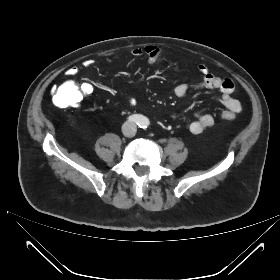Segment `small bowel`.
<instances>
[{"instance_id": "1", "label": "small bowel", "mask_w": 280, "mask_h": 280, "mask_svg": "<svg viewBox=\"0 0 280 280\" xmlns=\"http://www.w3.org/2000/svg\"><path fill=\"white\" fill-rule=\"evenodd\" d=\"M129 53L136 57H145L149 63H155L160 59L161 51L157 46L148 45L144 48L133 47L129 50ZM94 61L92 59L86 60L84 67H91ZM199 71L203 74L204 78L201 82H183L174 87V94L177 97H184L190 90H219L222 93L220 103L225 107V110L221 115L231 114L233 118L235 115L242 111V103L232 97V93L235 89V84L230 78H222L214 75L209 71L208 66L205 63H201L198 66ZM69 76H76L79 73L78 66H72L67 71ZM94 86L90 82H83L79 86L81 100L92 94ZM125 103L129 106H133L136 100L133 97H127ZM175 118V115H172ZM214 125V118L210 114L196 113L194 120L191 122L189 129L193 134H201L206 129Z\"/></svg>"}]
</instances>
